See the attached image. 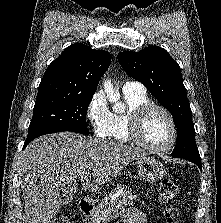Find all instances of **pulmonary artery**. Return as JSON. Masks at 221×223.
Returning <instances> with one entry per match:
<instances>
[{
  "label": "pulmonary artery",
  "mask_w": 221,
  "mask_h": 223,
  "mask_svg": "<svg viewBox=\"0 0 221 223\" xmlns=\"http://www.w3.org/2000/svg\"><path fill=\"white\" fill-rule=\"evenodd\" d=\"M123 93H144L146 89L144 85L138 81H126L122 86Z\"/></svg>",
  "instance_id": "e3ab8cb5"
}]
</instances>
